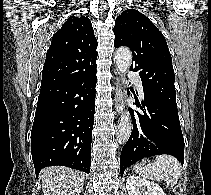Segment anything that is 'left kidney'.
Masks as SVG:
<instances>
[{
	"mask_svg": "<svg viewBox=\"0 0 211 195\" xmlns=\"http://www.w3.org/2000/svg\"><path fill=\"white\" fill-rule=\"evenodd\" d=\"M126 188L129 195H166L158 184L136 175L127 178Z\"/></svg>",
	"mask_w": 211,
	"mask_h": 195,
	"instance_id": "left-kidney-1",
	"label": "left kidney"
}]
</instances>
